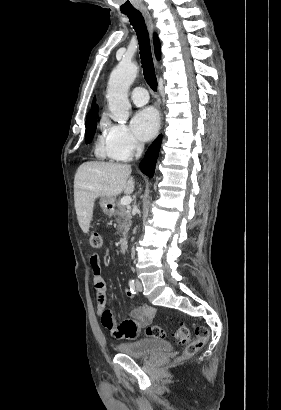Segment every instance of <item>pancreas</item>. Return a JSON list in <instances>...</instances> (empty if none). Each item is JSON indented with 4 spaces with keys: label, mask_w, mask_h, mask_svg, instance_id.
Listing matches in <instances>:
<instances>
[{
    "label": "pancreas",
    "mask_w": 281,
    "mask_h": 410,
    "mask_svg": "<svg viewBox=\"0 0 281 410\" xmlns=\"http://www.w3.org/2000/svg\"><path fill=\"white\" fill-rule=\"evenodd\" d=\"M114 216L116 217V222L118 223V234H122L126 236L132 222V215L127 208L120 204V202H116Z\"/></svg>",
    "instance_id": "obj_1"
}]
</instances>
